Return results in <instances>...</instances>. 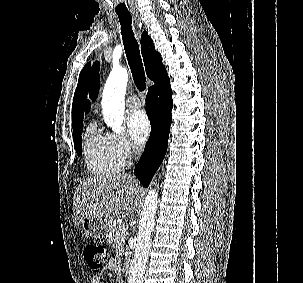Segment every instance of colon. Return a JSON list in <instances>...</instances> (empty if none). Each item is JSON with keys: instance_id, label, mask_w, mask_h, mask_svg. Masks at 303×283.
Here are the masks:
<instances>
[{"instance_id": "5ec220e1", "label": "colon", "mask_w": 303, "mask_h": 283, "mask_svg": "<svg viewBox=\"0 0 303 283\" xmlns=\"http://www.w3.org/2000/svg\"><path fill=\"white\" fill-rule=\"evenodd\" d=\"M110 251L106 245L88 243L82 249V257L91 270H100L109 259Z\"/></svg>"}]
</instances>
